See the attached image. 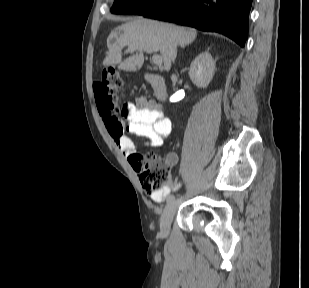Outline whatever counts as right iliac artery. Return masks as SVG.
Listing matches in <instances>:
<instances>
[{
    "instance_id": "right-iliac-artery-1",
    "label": "right iliac artery",
    "mask_w": 309,
    "mask_h": 288,
    "mask_svg": "<svg viewBox=\"0 0 309 288\" xmlns=\"http://www.w3.org/2000/svg\"><path fill=\"white\" fill-rule=\"evenodd\" d=\"M177 197H175V193L174 192H171L170 193V196L168 197L167 201L169 202L170 200L172 199H176Z\"/></svg>"
}]
</instances>
